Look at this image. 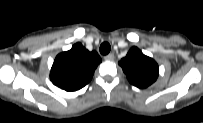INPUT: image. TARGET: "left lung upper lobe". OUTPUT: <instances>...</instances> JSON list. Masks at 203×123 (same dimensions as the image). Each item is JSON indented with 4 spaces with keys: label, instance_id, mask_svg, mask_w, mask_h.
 I'll return each instance as SVG.
<instances>
[{
    "label": "left lung upper lobe",
    "instance_id": "obj_1",
    "mask_svg": "<svg viewBox=\"0 0 203 123\" xmlns=\"http://www.w3.org/2000/svg\"><path fill=\"white\" fill-rule=\"evenodd\" d=\"M119 65L129 82L136 87L146 88L158 77V64L144 55L137 47H132Z\"/></svg>",
    "mask_w": 203,
    "mask_h": 123
}]
</instances>
